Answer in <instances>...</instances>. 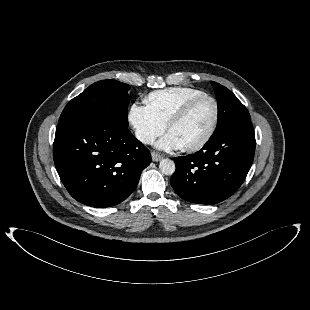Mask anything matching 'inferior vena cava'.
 I'll return each instance as SVG.
<instances>
[{"mask_svg":"<svg viewBox=\"0 0 310 310\" xmlns=\"http://www.w3.org/2000/svg\"><path fill=\"white\" fill-rule=\"evenodd\" d=\"M136 137L138 140L145 144H153L155 141V137L151 134L143 133L141 131L136 132Z\"/></svg>","mask_w":310,"mask_h":310,"instance_id":"obj_1","label":"inferior vena cava"}]
</instances>
